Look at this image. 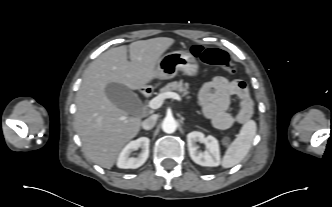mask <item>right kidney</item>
<instances>
[{
    "label": "right kidney",
    "instance_id": "1",
    "mask_svg": "<svg viewBox=\"0 0 332 207\" xmlns=\"http://www.w3.org/2000/svg\"><path fill=\"white\" fill-rule=\"evenodd\" d=\"M150 139L147 137H140L128 143L121 151L117 166L122 169H136L142 166L149 156ZM141 148V153L137 157H131L134 150Z\"/></svg>",
    "mask_w": 332,
    "mask_h": 207
}]
</instances>
